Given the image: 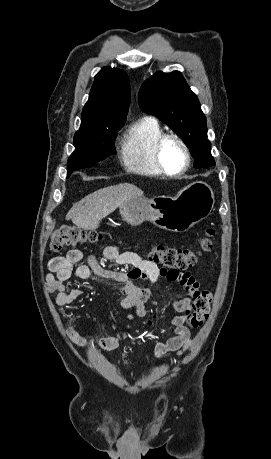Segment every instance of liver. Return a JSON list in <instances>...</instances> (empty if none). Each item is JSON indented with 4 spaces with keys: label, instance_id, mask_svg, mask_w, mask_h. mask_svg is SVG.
<instances>
[{
    "label": "liver",
    "instance_id": "1",
    "mask_svg": "<svg viewBox=\"0 0 271 459\" xmlns=\"http://www.w3.org/2000/svg\"><path fill=\"white\" fill-rule=\"evenodd\" d=\"M136 196H143V192L133 184H119V186L97 190L74 204L66 220H72L78 228L96 229L103 218Z\"/></svg>",
    "mask_w": 271,
    "mask_h": 459
}]
</instances>
